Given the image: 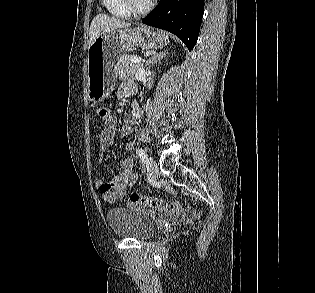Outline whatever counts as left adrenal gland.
<instances>
[{
    "label": "left adrenal gland",
    "instance_id": "obj_1",
    "mask_svg": "<svg viewBox=\"0 0 315 293\" xmlns=\"http://www.w3.org/2000/svg\"><path fill=\"white\" fill-rule=\"evenodd\" d=\"M167 55H168V52H166V51L156 53L149 59V61L146 62L145 66L150 67L151 65H154L155 63H157L158 61H160L161 59H163Z\"/></svg>",
    "mask_w": 315,
    "mask_h": 293
}]
</instances>
